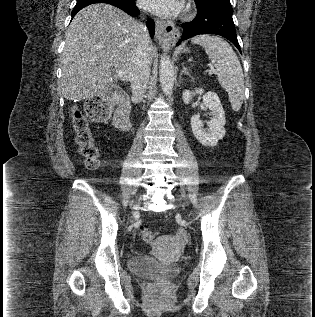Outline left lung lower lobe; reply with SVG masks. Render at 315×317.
I'll return each instance as SVG.
<instances>
[{"label": "left lung lower lobe", "mask_w": 315, "mask_h": 317, "mask_svg": "<svg viewBox=\"0 0 315 317\" xmlns=\"http://www.w3.org/2000/svg\"><path fill=\"white\" fill-rule=\"evenodd\" d=\"M233 12L218 11L212 9H199L195 19L191 22L183 23V34L177 45L182 40H186L199 34H217L230 40L241 52L237 40L235 25L232 19Z\"/></svg>", "instance_id": "obj_1"}]
</instances>
